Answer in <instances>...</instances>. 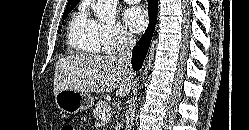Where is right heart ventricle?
Here are the masks:
<instances>
[{"mask_svg": "<svg viewBox=\"0 0 249 130\" xmlns=\"http://www.w3.org/2000/svg\"><path fill=\"white\" fill-rule=\"evenodd\" d=\"M101 25L93 19L85 6L80 7L68 26V43L77 53L99 54L105 52Z\"/></svg>", "mask_w": 249, "mask_h": 130, "instance_id": "1", "label": "right heart ventricle"}]
</instances>
